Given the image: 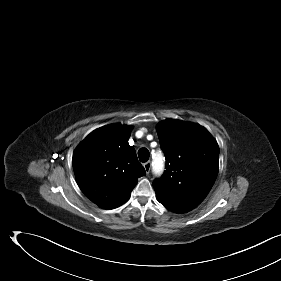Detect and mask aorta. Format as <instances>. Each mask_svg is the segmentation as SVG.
Wrapping results in <instances>:
<instances>
[{
    "label": "aorta",
    "mask_w": 281,
    "mask_h": 281,
    "mask_svg": "<svg viewBox=\"0 0 281 281\" xmlns=\"http://www.w3.org/2000/svg\"><path fill=\"white\" fill-rule=\"evenodd\" d=\"M153 172L156 175H160L164 170V162L160 153L155 154L152 162Z\"/></svg>",
    "instance_id": "762f6f07"
}]
</instances>
